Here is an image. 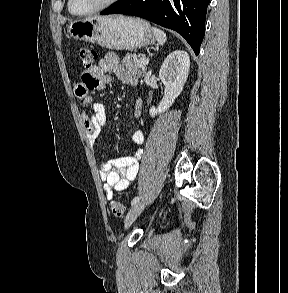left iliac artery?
<instances>
[{
  "label": "left iliac artery",
  "mask_w": 288,
  "mask_h": 293,
  "mask_svg": "<svg viewBox=\"0 0 288 293\" xmlns=\"http://www.w3.org/2000/svg\"><path fill=\"white\" fill-rule=\"evenodd\" d=\"M139 200H140V197H135L133 200H132V202H131V205H135L137 202H139Z\"/></svg>",
  "instance_id": "1"
}]
</instances>
